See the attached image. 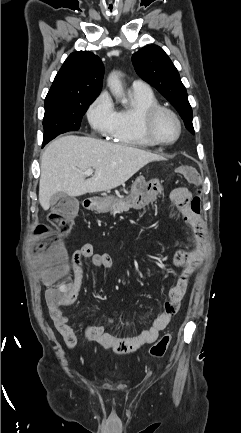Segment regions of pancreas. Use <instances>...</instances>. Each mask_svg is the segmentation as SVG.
<instances>
[{"instance_id": "pancreas-1", "label": "pancreas", "mask_w": 241, "mask_h": 433, "mask_svg": "<svg viewBox=\"0 0 241 433\" xmlns=\"http://www.w3.org/2000/svg\"><path fill=\"white\" fill-rule=\"evenodd\" d=\"M133 207L134 205L127 198L120 197L115 199L109 210L110 214L115 215L117 213L128 211L130 208Z\"/></svg>"}]
</instances>
